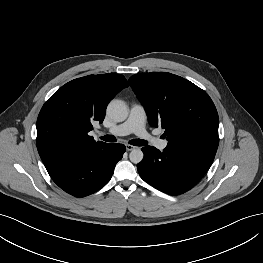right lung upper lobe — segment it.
<instances>
[{"instance_id":"cb5924a9","label":"right lung upper lobe","mask_w":263,"mask_h":263,"mask_svg":"<svg viewBox=\"0 0 263 263\" xmlns=\"http://www.w3.org/2000/svg\"><path fill=\"white\" fill-rule=\"evenodd\" d=\"M128 86L123 75H89L66 83L43 105L36 144L49 175L80 153L106 144L88 132L93 121L102 123L109 101Z\"/></svg>"}]
</instances>
